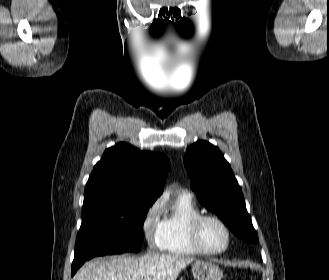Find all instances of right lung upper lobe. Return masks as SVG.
<instances>
[{"mask_svg":"<svg viewBox=\"0 0 329 280\" xmlns=\"http://www.w3.org/2000/svg\"><path fill=\"white\" fill-rule=\"evenodd\" d=\"M169 168L168 158L161 153L118 143L106 149L94 166L85 187L83 210L121 197L157 199L163 192Z\"/></svg>","mask_w":329,"mask_h":280,"instance_id":"obj_1","label":"right lung upper lobe"}]
</instances>
